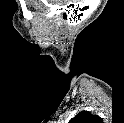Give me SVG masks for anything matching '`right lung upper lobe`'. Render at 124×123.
I'll return each instance as SVG.
<instances>
[{"mask_svg":"<svg viewBox=\"0 0 124 123\" xmlns=\"http://www.w3.org/2000/svg\"><path fill=\"white\" fill-rule=\"evenodd\" d=\"M95 121H102L97 115H93L88 111L79 112L69 123H93Z\"/></svg>","mask_w":124,"mask_h":123,"instance_id":"obj_1","label":"right lung upper lobe"}]
</instances>
